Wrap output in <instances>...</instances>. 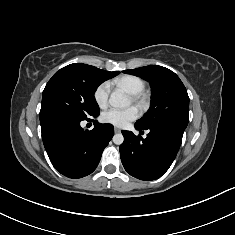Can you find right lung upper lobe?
Listing matches in <instances>:
<instances>
[{
  "instance_id": "obj_1",
  "label": "right lung upper lobe",
  "mask_w": 235,
  "mask_h": 235,
  "mask_svg": "<svg viewBox=\"0 0 235 235\" xmlns=\"http://www.w3.org/2000/svg\"><path fill=\"white\" fill-rule=\"evenodd\" d=\"M64 68L75 70V71L86 73V74L95 75V76H98L104 80H107V79L112 78V77L116 76L117 74H119L118 71L109 72V71L98 69V68L91 66V65L81 64V63H73L68 66H65Z\"/></svg>"
}]
</instances>
